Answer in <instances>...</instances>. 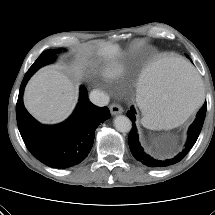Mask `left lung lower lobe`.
<instances>
[{
  "label": "left lung lower lobe",
  "instance_id": "obj_1",
  "mask_svg": "<svg viewBox=\"0 0 215 215\" xmlns=\"http://www.w3.org/2000/svg\"><path fill=\"white\" fill-rule=\"evenodd\" d=\"M206 108L207 106L205 102L201 109L198 111L195 121L189 128L188 139L185 144V148L172 159H159L147 154L140 145L137 129L135 127V110L132 107L131 110L127 112V116L133 123L132 131L129 134V146L132 155L144 165L153 168L167 167L181 161L197 141L205 119Z\"/></svg>",
  "mask_w": 215,
  "mask_h": 215
}]
</instances>
